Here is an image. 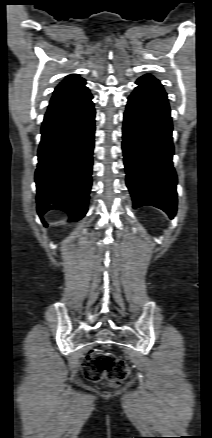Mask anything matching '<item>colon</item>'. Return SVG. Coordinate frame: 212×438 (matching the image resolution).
Masks as SVG:
<instances>
[{
  "mask_svg": "<svg viewBox=\"0 0 212 438\" xmlns=\"http://www.w3.org/2000/svg\"><path fill=\"white\" fill-rule=\"evenodd\" d=\"M83 373L91 381L105 379L112 385H120L128 378L130 369L123 359L110 353L93 350L84 360Z\"/></svg>",
  "mask_w": 212,
  "mask_h": 438,
  "instance_id": "5ec220e1",
  "label": "colon"
}]
</instances>
